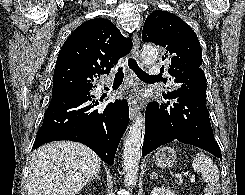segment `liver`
I'll use <instances>...</instances> for the list:
<instances>
[{"instance_id":"1","label":"liver","mask_w":245,"mask_h":195,"mask_svg":"<svg viewBox=\"0 0 245 195\" xmlns=\"http://www.w3.org/2000/svg\"><path fill=\"white\" fill-rule=\"evenodd\" d=\"M101 159L71 141L42 145L31 155L29 195H75L100 170Z\"/></svg>"}]
</instances>
